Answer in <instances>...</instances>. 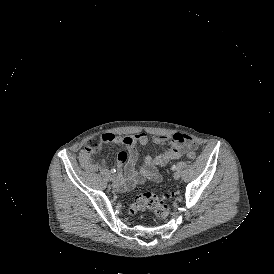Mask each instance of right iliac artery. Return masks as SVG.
<instances>
[{
	"label": "right iliac artery",
	"mask_w": 274,
	"mask_h": 274,
	"mask_svg": "<svg viewBox=\"0 0 274 274\" xmlns=\"http://www.w3.org/2000/svg\"><path fill=\"white\" fill-rule=\"evenodd\" d=\"M110 171H111V173H115L116 172V170L114 168H112Z\"/></svg>",
	"instance_id": "obj_1"
}]
</instances>
